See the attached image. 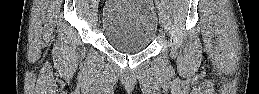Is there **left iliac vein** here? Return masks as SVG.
<instances>
[{"instance_id":"1","label":"left iliac vein","mask_w":259,"mask_h":94,"mask_svg":"<svg viewBox=\"0 0 259 94\" xmlns=\"http://www.w3.org/2000/svg\"><path fill=\"white\" fill-rule=\"evenodd\" d=\"M159 22L164 27L166 23V14L163 9H159Z\"/></svg>"}]
</instances>
